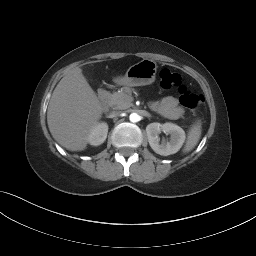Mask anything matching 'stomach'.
Returning a JSON list of instances; mask_svg holds the SVG:
<instances>
[{"label": "stomach", "mask_w": 256, "mask_h": 256, "mask_svg": "<svg viewBox=\"0 0 256 256\" xmlns=\"http://www.w3.org/2000/svg\"><path fill=\"white\" fill-rule=\"evenodd\" d=\"M157 64L153 60L143 59L130 66L124 76L113 79L118 86L134 87L152 84L155 81Z\"/></svg>", "instance_id": "stomach-1"}]
</instances>
